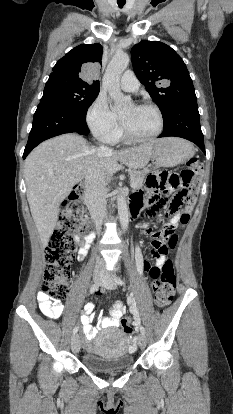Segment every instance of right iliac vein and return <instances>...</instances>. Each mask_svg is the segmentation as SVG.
Returning <instances> with one entry per match:
<instances>
[{"mask_svg":"<svg viewBox=\"0 0 233 414\" xmlns=\"http://www.w3.org/2000/svg\"><path fill=\"white\" fill-rule=\"evenodd\" d=\"M103 272L101 270H95L93 273V279L96 283H99L102 279ZM71 349L73 352H78L80 349V340L78 335H74L71 338Z\"/></svg>","mask_w":233,"mask_h":414,"instance_id":"obj_1","label":"right iliac vein"}]
</instances>
